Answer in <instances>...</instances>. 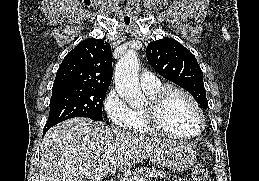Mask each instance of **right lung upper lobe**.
Masks as SVG:
<instances>
[{"label":"right lung upper lobe","instance_id":"obj_1","mask_svg":"<svg viewBox=\"0 0 259 181\" xmlns=\"http://www.w3.org/2000/svg\"><path fill=\"white\" fill-rule=\"evenodd\" d=\"M111 46L102 39L80 42L62 61L53 84L56 87L108 89L112 80Z\"/></svg>","mask_w":259,"mask_h":181}]
</instances>
